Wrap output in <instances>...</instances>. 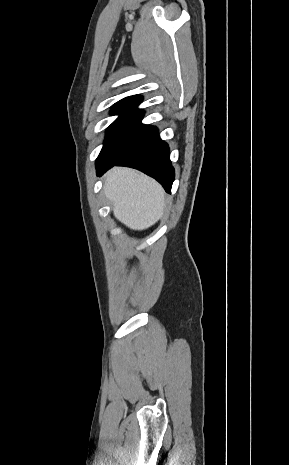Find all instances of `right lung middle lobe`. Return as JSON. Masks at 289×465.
<instances>
[{
  "instance_id": "obj_1",
  "label": "right lung middle lobe",
  "mask_w": 289,
  "mask_h": 465,
  "mask_svg": "<svg viewBox=\"0 0 289 465\" xmlns=\"http://www.w3.org/2000/svg\"><path fill=\"white\" fill-rule=\"evenodd\" d=\"M137 106L135 104L112 107L110 114L119 117L108 127L106 141L96 162L120 159L152 128L141 123L144 111L137 109Z\"/></svg>"
}]
</instances>
